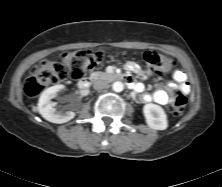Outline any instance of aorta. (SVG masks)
Listing matches in <instances>:
<instances>
[{
    "label": "aorta",
    "instance_id": "1",
    "mask_svg": "<svg viewBox=\"0 0 222 187\" xmlns=\"http://www.w3.org/2000/svg\"><path fill=\"white\" fill-rule=\"evenodd\" d=\"M112 89H113V91H115V92H121V91H123V89H124V85H123L122 82L116 81V82H114V83L112 84Z\"/></svg>",
    "mask_w": 222,
    "mask_h": 187
}]
</instances>
